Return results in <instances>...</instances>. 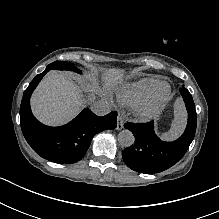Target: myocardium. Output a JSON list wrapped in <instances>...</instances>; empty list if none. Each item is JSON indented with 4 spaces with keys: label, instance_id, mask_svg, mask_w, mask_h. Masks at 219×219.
<instances>
[{
    "label": "myocardium",
    "instance_id": "obj_1",
    "mask_svg": "<svg viewBox=\"0 0 219 219\" xmlns=\"http://www.w3.org/2000/svg\"><path fill=\"white\" fill-rule=\"evenodd\" d=\"M170 97V86L168 84H160L141 104L139 113L145 117L152 116L163 104L169 100Z\"/></svg>",
    "mask_w": 219,
    "mask_h": 219
}]
</instances>
